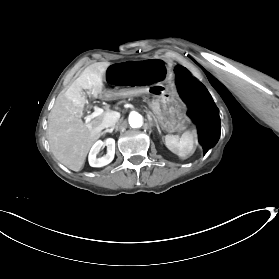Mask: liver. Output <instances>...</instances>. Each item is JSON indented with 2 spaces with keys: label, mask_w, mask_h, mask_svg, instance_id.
<instances>
[{
  "label": "liver",
  "mask_w": 279,
  "mask_h": 279,
  "mask_svg": "<svg viewBox=\"0 0 279 279\" xmlns=\"http://www.w3.org/2000/svg\"><path fill=\"white\" fill-rule=\"evenodd\" d=\"M106 69L91 65L68 90L59 94L48 115L47 139L54 157L72 171H81L92 145L101 137L103 114L86 124L81 117L85 111L83 89H89L94 98L104 94Z\"/></svg>",
  "instance_id": "6515ba94"
}]
</instances>
